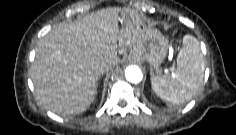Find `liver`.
<instances>
[{"label": "liver", "mask_w": 236, "mask_h": 135, "mask_svg": "<svg viewBox=\"0 0 236 135\" xmlns=\"http://www.w3.org/2000/svg\"><path fill=\"white\" fill-rule=\"evenodd\" d=\"M124 12H131L133 21L120 30L119 14ZM146 28L133 11L117 7L53 27L39 40L31 68L38 102L64 117L84 112L94 100L100 76L120 61L117 43L137 50Z\"/></svg>", "instance_id": "liver-1"}]
</instances>
